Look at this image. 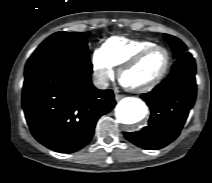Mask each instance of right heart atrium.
I'll return each instance as SVG.
<instances>
[{
    "instance_id": "d8ad5b80",
    "label": "right heart atrium",
    "mask_w": 212,
    "mask_h": 183,
    "mask_svg": "<svg viewBox=\"0 0 212 183\" xmlns=\"http://www.w3.org/2000/svg\"><path fill=\"white\" fill-rule=\"evenodd\" d=\"M92 67L97 82L104 86L114 75V66L109 61L103 48L95 50L92 57Z\"/></svg>"
}]
</instances>
